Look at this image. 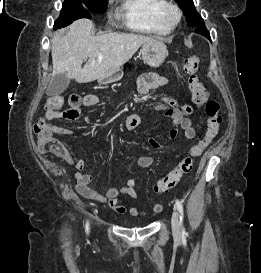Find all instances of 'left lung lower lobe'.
<instances>
[{
    "mask_svg": "<svg viewBox=\"0 0 261 273\" xmlns=\"http://www.w3.org/2000/svg\"><path fill=\"white\" fill-rule=\"evenodd\" d=\"M195 32L205 36L206 38H208L209 40L210 39V34L208 32V30L206 29L205 25H201V26H198L196 29H195Z\"/></svg>",
    "mask_w": 261,
    "mask_h": 273,
    "instance_id": "obj_1",
    "label": "left lung lower lobe"
}]
</instances>
